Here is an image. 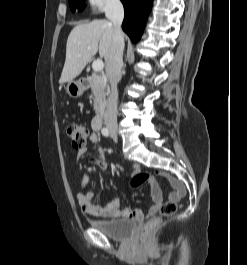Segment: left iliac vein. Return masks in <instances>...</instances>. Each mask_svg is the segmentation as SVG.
I'll return each instance as SVG.
<instances>
[{
	"label": "left iliac vein",
	"mask_w": 247,
	"mask_h": 265,
	"mask_svg": "<svg viewBox=\"0 0 247 265\" xmlns=\"http://www.w3.org/2000/svg\"><path fill=\"white\" fill-rule=\"evenodd\" d=\"M113 139L115 142L117 141V137L115 135H113Z\"/></svg>",
	"instance_id": "4c4485c4"
}]
</instances>
